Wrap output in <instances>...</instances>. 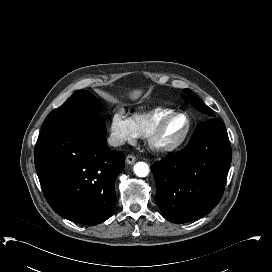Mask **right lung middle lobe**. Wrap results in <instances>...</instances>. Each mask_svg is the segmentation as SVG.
Returning a JSON list of instances; mask_svg holds the SVG:
<instances>
[{"label":"right lung middle lobe","instance_id":"obj_1","mask_svg":"<svg viewBox=\"0 0 272 272\" xmlns=\"http://www.w3.org/2000/svg\"><path fill=\"white\" fill-rule=\"evenodd\" d=\"M99 100L89 91L78 90L59 108L51 111L46 117L42 129L64 121L74 120L85 115H98Z\"/></svg>","mask_w":272,"mask_h":272}]
</instances>
